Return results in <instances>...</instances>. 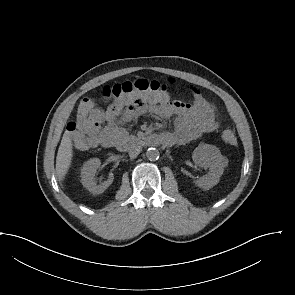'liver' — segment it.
I'll use <instances>...</instances> for the list:
<instances>
[{"mask_svg":"<svg viewBox=\"0 0 295 295\" xmlns=\"http://www.w3.org/2000/svg\"><path fill=\"white\" fill-rule=\"evenodd\" d=\"M73 144L70 136L65 133L62 137L57 157H56V173L59 181H63L67 174L73 157Z\"/></svg>","mask_w":295,"mask_h":295,"instance_id":"liver-1","label":"liver"}]
</instances>
